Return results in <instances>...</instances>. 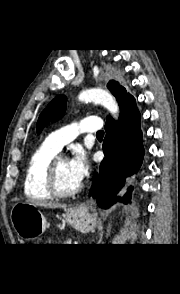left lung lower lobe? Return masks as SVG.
Returning <instances> with one entry per match:
<instances>
[{
	"mask_svg": "<svg viewBox=\"0 0 180 294\" xmlns=\"http://www.w3.org/2000/svg\"><path fill=\"white\" fill-rule=\"evenodd\" d=\"M140 113L134 97H130L120 107L119 121L107 119L106 137L103 142V159L99 174L93 177L90 195L97 199L102 208H108L118 200L116 193L133 182L132 176L137 173L143 160L142 132L140 129ZM127 193L121 199L129 203L133 186L127 188Z\"/></svg>",
	"mask_w": 180,
	"mask_h": 294,
	"instance_id": "obj_1",
	"label": "left lung lower lobe"
}]
</instances>
